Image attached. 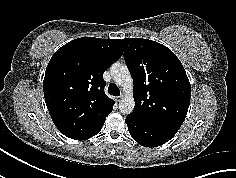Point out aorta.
Returning a JSON list of instances; mask_svg holds the SVG:
<instances>
[{
	"instance_id": "aorta-1",
	"label": "aorta",
	"mask_w": 236,
	"mask_h": 178,
	"mask_svg": "<svg viewBox=\"0 0 236 178\" xmlns=\"http://www.w3.org/2000/svg\"><path fill=\"white\" fill-rule=\"evenodd\" d=\"M111 72L115 82L123 88L125 96L119 102V110L122 114H130L135 107V100L132 95L133 79L126 65L116 62L111 66Z\"/></svg>"
}]
</instances>
